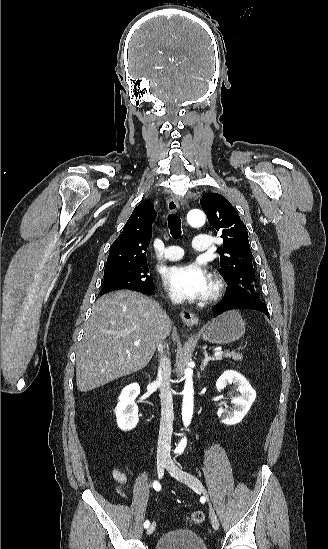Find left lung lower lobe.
Returning a JSON list of instances; mask_svg holds the SVG:
<instances>
[{
    "mask_svg": "<svg viewBox=\"0 0 328 549\" xmlns=\"http://www.w3.org/2000/svg\"><path fill=\"white\" fill-rule=\"evenodd\" d=\"M232 309H251L269 315L268 309L261 299L251 300L226 296L221 303L214 307V317Z\"/></svg>",
    "mask_w": 328,
    "mask_h": 549,
    "instance_id": "0a47b994",
    "label": "left lung lower lobe"
}]
</instances>
